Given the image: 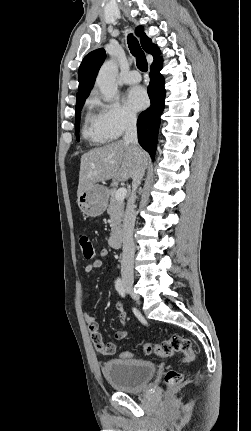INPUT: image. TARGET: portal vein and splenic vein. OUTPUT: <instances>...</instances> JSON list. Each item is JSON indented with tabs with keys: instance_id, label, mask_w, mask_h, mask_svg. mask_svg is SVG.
<instances>
[{
	"instance_id": "obj_1",
	"label": "portal vein and splenic vein",
	"mask_w": 251,
	"mask_h": 431,
	"mask_svg": "<svg viewBox=\"0 0 251 431\" xmlns=\"http://www.w3.org/2000/svg\"><path fill=\"white\" fill-rule=\"evenodd\" d=\"M127 195V189L125 187L119 188L115 193V199L117 201H123Z\"/></svg>"
}]
</instances>
